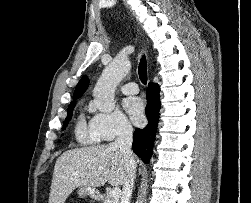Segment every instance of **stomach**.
<instances>
[{
  "label": "stomach",
  "mask_w": 251,
  "mask_h": 203,
  "mask_svg": "<svg viewBox=\"0 0 251 203\" xmlns=\"http://www.w3.org/2000/svg\"><path fill=\"white\" fill-rule=\"evenodd\" d=\"M78 195L80 198H85L87 196L95 198L98 195V191L94 187L82 186L78 189Z\"/></svg>",
  "instance_id": "stomach-1"
}]
</instances>
